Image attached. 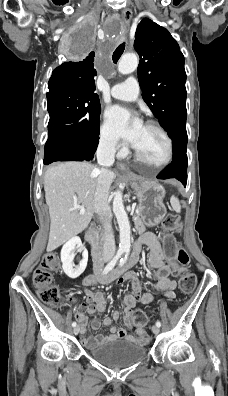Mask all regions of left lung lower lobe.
I'll use <instances>...</instances> for the list:
<instances>
[{"label": "left lung lower lobe", "instance_id": "left-lung-lower-lobe-1", "mask_svg": "<svg viewBox=\"0 0 228 396\" xmlns=\"http://www.w3.org/2000/svg\"><path fill=\"white\" fill-rule=\"evenodd\" d=\"M173 141V160L158 176V179L176 178L184 186L187 183V132L186 117L177 119L167 130Z\"/></svg>", "mask_w": 228, "mask_h": 396}]
</instances>
